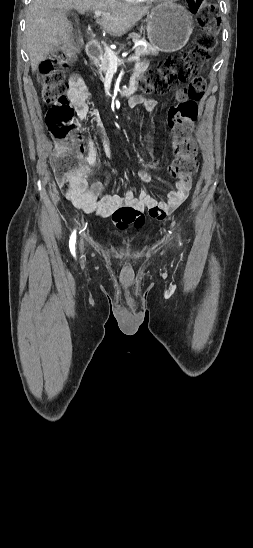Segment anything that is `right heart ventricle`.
<instances>
[{
  "label": "right heart ventricle",
  "instance_id": "obj_1",
  "mask_svg": "<svg viewBox=\"0 0 253 548\" xmlns=\"http://www.w3.org/2000/svg\"><path fill=\"white\" fill-rule=\"evenodd\" d=\"M123 2L130 3V4H139L146 0H122Z\"/></svg>",
  "mask_w": 253,
  "mask_h": 548
}]
</instances>
